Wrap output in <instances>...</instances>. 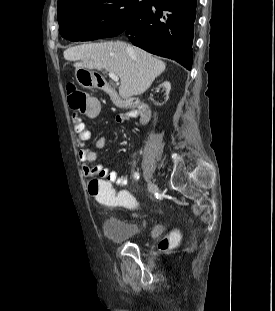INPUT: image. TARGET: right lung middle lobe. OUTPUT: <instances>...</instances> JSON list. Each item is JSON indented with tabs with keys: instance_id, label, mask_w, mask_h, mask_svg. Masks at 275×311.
Here are the masks:
<instances>
[{
	"instance_id": "dd1d6c3e",
	"label": "right lung middle lobe",
	"mask_w": 275,
	"mask_h": 311,
	"mask_svg": "<svg viewBox=\"0 0 275 311\" xmlns=\"http://www.w3.org/2000/svg\"><path fill=\"white\" fill-rule=\"evenodd\" d=\"M154 0H71L58 5L61 36L78 41L88 35L95 39L122 33L131 19Z\"/></svg>"
}]
</instances>
